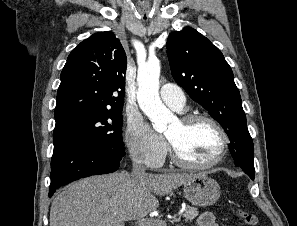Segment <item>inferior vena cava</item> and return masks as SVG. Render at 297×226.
I'll use <instances>...</instances> for the list:
<instances>
[{"label": "inferior vena cava", "instance_id": "inferior-vena-cava-1", "mask_svg": "<svg viewBox=\"0 0 297 226\" xmlns=\"http://www.w3.org/2000/svg\"><path fill=\"white\" fill-rule=\"evenodd\" d=\"M145 170H146V168L142 164H140V163L136 162L135 160H133L132 172H131L132 177H142V176H144L146 174Z\"/></svg>", "mask_w": 297, "mask_h": 226}]
</instances>
